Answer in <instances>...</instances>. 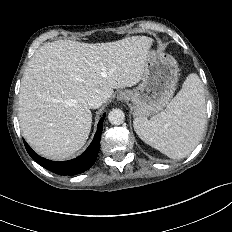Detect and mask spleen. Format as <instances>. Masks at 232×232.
Masks as SVG:
<instances>
[{"label":"spleen","mask_w":232,"mask_h":232,"mask_svg":"<svg viewBox=\"0 0 232 232\" xmlns=\"http://www.w3.org/2000/svg\"><path fill=\"white\" fill-rule=\"evenodd\" d=\"M137 135L172 159L186 157L201 139L206 125L204 87L197 74H189L182 89L160 114L133 121Z\"/></svg>","instance_id":"3e777b00"}]
</instances>
